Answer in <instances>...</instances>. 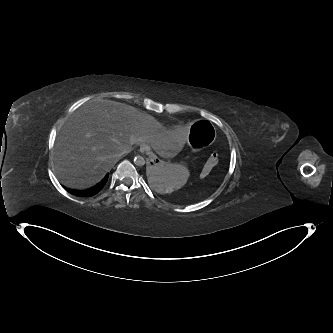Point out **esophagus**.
<instances>
[{"label": "esophagus", "mask_w": 333, "mask_h": 333, "mask_svg": "<svg viewBox=\"0 0 333 333\" xmlns=\"http://www.w3.org/2000/svg\"><path fill=\"white\" fill-rule=\"evenodd\" d=\"M149 149V147L146 144H141L140 145V152L144 153Z\"/></svg>", "instance_id": "esophagus-1"}]
</instances>
